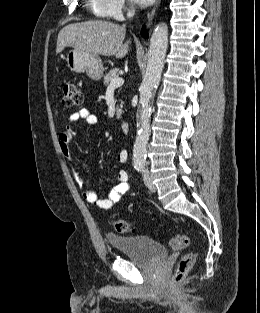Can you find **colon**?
<instances>
[{"mask_svg": "<svg viewBox=\"0 0 260 313\" xmlns=\"http://www.w3.org/2000/svg\"><path fill=\"white\" fill-rule=\"evenodd\" d=\"M83 101L82 94L74 83H66L63 87V104L68 107H76L81 105ZM113 226L118 233L129 234L134 232V226L123 220L114 219ZM190 244V236L188 234L176 236L171 239L170 245L173 249H183ZM197 258V253L194 251L186 253L178 262L174 273L173 283H178L185 278L191 271Z\"/></svg>", "mask_w": 260, "mask_h": 313, "instance_id": "1", "label": "colon"}]
</instances>
